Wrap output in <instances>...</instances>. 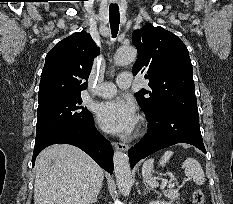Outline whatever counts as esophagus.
Wrapping results in <instances>:
<instances>
[{"label": "esophagus", "mask_w": 233, "mask_h": 204, "mask_svg": "<svg viewBox=\"0 0 233 204\" xmlns=\"http://www.w3.org/2000/svg\"><path fill=\"white\" fill-rule=\"evenodd\" d=\"M114 147H115L117 150L124 151V152L128 151V149H129L128 144L122 143V142H115V143H114Z\"/></svg>", "instance_id": "1"}]
</instances>
